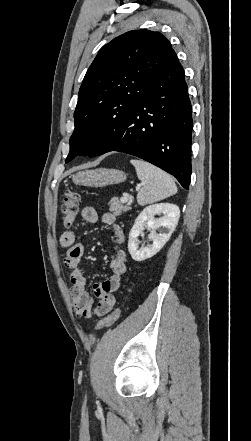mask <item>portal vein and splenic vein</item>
Instances as JSON below:
<instances>
[{"instance_id":"18ae733b","label":"portal vein and splenic vein","mask_w":251,"mask_h":441,"mask_svg":"<svg viewBox=\"0 0 251 441\" xmlns=\"http://www.w3.org/2000/svg\"><path fill=\"white\" fill-rule=\"evenodd\" d=\"M128 200H129V201L132 200V196H130V197H125V196H123V197H121V199H120V201H121L122 203H126Z\"/></svg>"}]
</instances>
